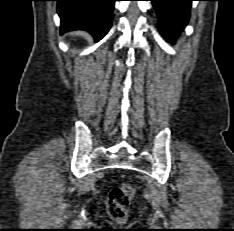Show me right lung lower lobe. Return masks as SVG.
<instances>
[{"instance_id": "right-lung-lower-lobe-1", "label": "right lung lower lobe", "mask_w": 234, "mask_h": 231, "mask_svg": "<svg viewBox=\"0 0 234 231\" xmlns=\"http://www.w3.org/2000/svg\"><path fill=\"white\" fill-rule=\"evenodd\" d=\"M61 20V33L72 30L89 31L96 41L110 29L116 0H56Z\"/></svg>"}]
</instances>
